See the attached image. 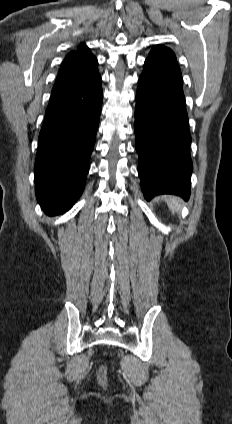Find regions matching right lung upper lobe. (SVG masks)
Segmentation results:
<instances>
[{
	"instance_id": "cb5924a9",
	"label": "right lung upper lobe",
	"mask_w": 232,
	"mask_h": 424,
	"mask_svg": "<svg viewBox=\"0 0 232 424\" xmlns=\"http://www.w3.org/2000/svg\"><path fill=\"white\" fill-rule=\"evenodd\" d=\"M97 59L90 49L81 44L71 51L62 62L53 90L69 82L98 75Z\"/></svg>"
}]
</instances>
